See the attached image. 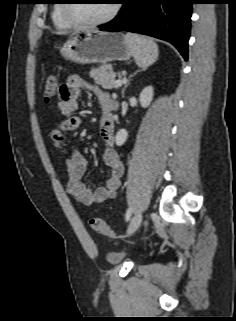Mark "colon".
Listing matches in <instances>:
<instances>
[{
	"instance_id": "5ec220e1",
	"label": "colon",
	"mask_w": 236,
	"mask_h": 321,
	"mask_svg": "<svg viewBox=\"0 0 236 321\" xmlns=\"http://www.w3.org/2000/svg\"><path fill=\"white\" fill-rule=\"evenodd\" d=\"M57 80L54 76L47 78L43 88V97L46 102H49L56 94ZM91 229L98 235L107 237L112 241H117V237L106 222L99 218H92L89 221Z\"/></svg>"
}]
</instances>
